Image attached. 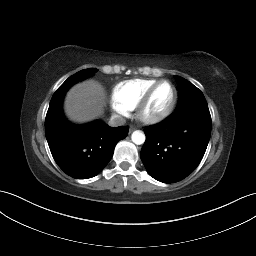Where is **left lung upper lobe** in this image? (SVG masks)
I'll list each match as a JSON object with an SVG mask.
<instances>
[{"mask_svg":"<svg viewBox=\"0 0 256 256\" xmlns=\"http://www.w3.org/2000/svg\"><path fill=\"white\" fill-rule=\"evenodd\" d=\"M175 78L178 83L179 90V99L175 111L191 106L208 107L201 90L180 76H175Z\"/></svg>","mask_w":256,"mask_h":256,"instance_id":"5c2ea615","label":"left lung upper lobe"}]
</instances>
